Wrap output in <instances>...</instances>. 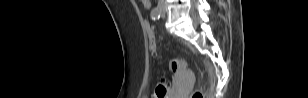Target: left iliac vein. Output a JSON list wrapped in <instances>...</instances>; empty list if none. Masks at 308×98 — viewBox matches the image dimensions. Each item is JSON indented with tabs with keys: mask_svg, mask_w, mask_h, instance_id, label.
<instances>
[{
	"mask_svg": "<svg viewBox=\"0 0 308 98\" xmlns=\"http://www.w3.org/2000/svg\"><path fill=\"white\" fill-rule=\"evenodd\" d=\"M161 15H162V17H165V15H166V9H165V7H162V8H161Z\"/></svg>",
	"mask_w": 308,
	"mask_h": 98,
	"instance_id": "obj_1",
	"label": "left iliac vein"
}]
</instances>
